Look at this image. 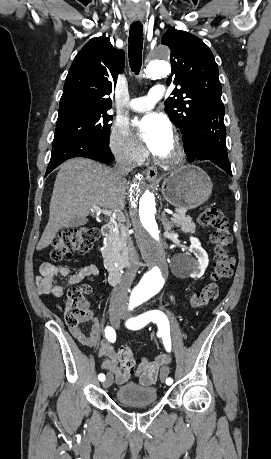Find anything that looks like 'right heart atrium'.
Masks as SVG:
<instances>
[{
	"mask_svg": "<svg viewBox=\"0 0 271 459\" xmlns=\"http://www.w3.org/2000/svg\"><path fill=\"white\" fill-rule=\"evenodd\" d=\"M109 148L118 158H124L132 165L142 162L147 152L131 135L128 128L116 123L111 127L109 134Z\"/></svg>",
	"mask_w": 271,
	"mask_h": 459,
	"instance_id": "right-heart-atrium-1",
	"label": "right heart atrium"
}]
</instances>
